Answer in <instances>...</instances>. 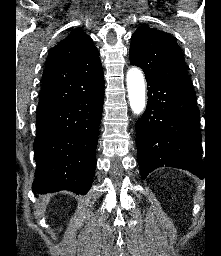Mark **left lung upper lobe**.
<instances>
[{
    "mask_svg": "<svg viewBox=\"0 0 221 256\" xmlns=\"http://www.w3.org/2000/svg\"><path fill=\"white\" fill-rule=\"evenodd\" d=\"M129 57L132 65L143 69L146 80L189 82L181 49L168 33L141 25L132 35Z\"/></svg>",
    "mask_w": 221,
    "mask_h": 256,
    "instance_id": "1",
    "label": "left lung upper lobe"
}]
</instances>
